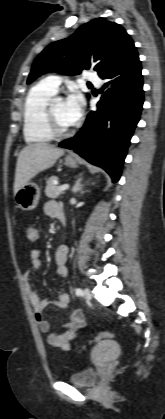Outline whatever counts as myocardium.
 Segmentation results:
<instances>
[{"label":"myocardium","instance_id":"myocardium-1","mask_svg":"<svg viewBox=\"0 0 165 419\" xmlns=\"http://www.w3.org/2000/svg\"><path fill=\"white\" fill-rule=\"evenodd\" d=\"M54 101L55 99H51L47 103L46 108H45V118H46L48 129L54 137L69 136L75 131L76 126L73 125L67 129L60 127L54 113V108H53Z\"/></svg>","mask_w":165,"mask_h":419}]
</instances>
